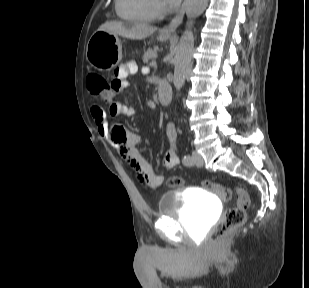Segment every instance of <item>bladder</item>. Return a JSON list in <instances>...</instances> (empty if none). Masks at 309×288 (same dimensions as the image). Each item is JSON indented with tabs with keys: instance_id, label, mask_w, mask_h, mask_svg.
<instances>
[{
	"instance_id": "31cf9c89",
	"label": "bladder",
	"mask_w": 309,
	"mask_h": 288,
	"mask_svg": "<svg viewBox=\"0 0 309 288\" xmlns=\"http://www.w3.org/2000/svg\"><path fill=\"white\" fill-rule=\"evenodd\" d=\"M218 200L216 194L205 190L167 191L157 202L158 215L175 218L185 231L201 234L218 215L220 210Z\"/></svg>"
}]
</instances>
